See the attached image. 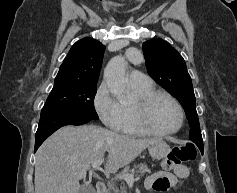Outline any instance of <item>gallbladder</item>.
Returning <instances> with one entry per match:
<instances>
[{
	"mask_svg": "<svg viewBox=\"0 0 237 193\" xmlns=\"http://www.w3.org/2000/svg\"><path fill=\"white\" fill-rule=\"evenodd\" d=\"M79 193H94V188L91 185H81Z\"/></svg>",
	"mask_w": 237,
	"mask_h": 193,
	"instance_id": "obj_1",
	"label": "gallbladder"
}]
</instances>
